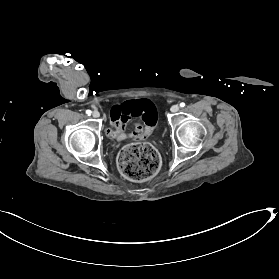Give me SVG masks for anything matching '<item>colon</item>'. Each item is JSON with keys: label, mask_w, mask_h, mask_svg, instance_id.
<instances>
[{"label": "colon", "mask_w": 279, "mask_h": 279, "mask_svg": "<svg viewBox=\"0 0 279 279\" xmlns=\"http://www.w3.org/2000/svg\"><path fill=\"white\" fill-rule=\"evenodd\" d=\"M118 167L127 179L146 180L159 170L160 156L147 143L129 145L121 150L118 156Z\"/></svg>", "instance_id": "colon-1"}]
</instances>
